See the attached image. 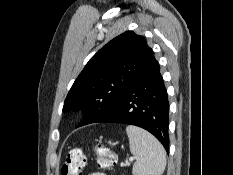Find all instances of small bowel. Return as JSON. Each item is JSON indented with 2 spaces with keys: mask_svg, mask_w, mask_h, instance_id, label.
I'll use <instances>...</instances> for the list:
<instances>
[{
  "mask_svg": "<svg viewBox=\"0 0 233 175\" xmlns=\"http://www.w3.org/2000/svg\"><path fill=\"white\" fill-rule=\"evenodd\" d=\"M90 175H107V174L102 173V172H94V173H92V174H90Z\"/></svg>",
  "mask_w": 233,
  "mask_h": 175,
  "instance_id": "small-bowel-1",
  "label": "small bowel"
}]
</instances>
